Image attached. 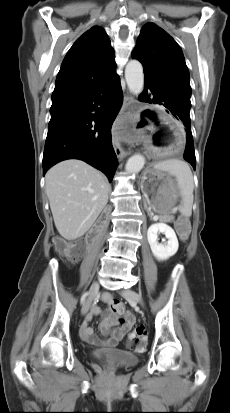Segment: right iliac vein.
Listing matches in <instances>:
<instances>
[{
    "instance_id": "1",
    "label": "right iliac vein",
    "mask_w": 230,
    "mask_h": 413,
    "mask_svg": "<svg viewBox=\"0 0 230 413\" xmlns=\"http://www.w3.org/2000/svg\"><path fill=\"white\" fill-rule=\"evenodd\" d=\"M98 290H99V283L98 282H93L91 287H90L89 294H88V296H87V298H86V300H85V302L82 306V309H81L82 315H85L88 312V309H89L93 299L95 298L96 293L98 292Z\"/></svg>"
}]
</instances>
